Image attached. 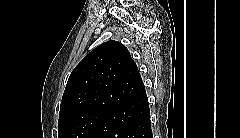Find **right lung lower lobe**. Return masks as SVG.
Wrapping results in <instances>:
<instances>
[{
    "label": "right lung lower lobe",
    "mask_w": 240,
    "mask_h": 138,
    "mask_svg": "<svg viewBox=\"0 0 240 138\" xmlns=\"http://www.w3.org/2000/svg\"><path fill=\"white\" fill-rule=\"evenodd\" d=\"M86 138H153L146 91L107 112Z\"/></svg>",
    "instance_id": "obj_1"
}]
</instances>
